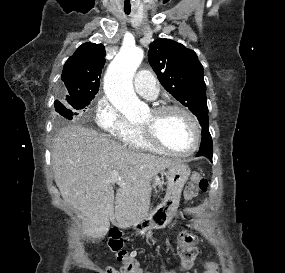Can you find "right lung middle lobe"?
I'll list each match as a JSON object with an SVG mask.
<instances>
[{
	"instance_id": "dd1d6c3e",
	"label": "right lung middle lobe",
	"mask_w": 285,
	"mask_h": 273,
	"mask_svg": "<svg viewBox=\"0 0 285 273\" xmlns=\"http://www.w3.org/2000/svg\"><path fill=\"white\" fill-rule=\"evenodd\" d=\"M93 98L94 96L88 98H69V99L66 98L67 101L66 106H64L60 101L57 100L55 101L54 105L56 111L62 117L68 120H72L77 115L75 110L86 108L90 104Z\"/></svg>"
}]
</instances>
